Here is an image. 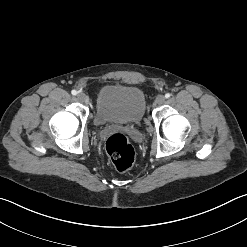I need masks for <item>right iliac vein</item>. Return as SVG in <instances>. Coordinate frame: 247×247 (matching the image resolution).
Wrapping results in <instances>:
<instances>
[{"label":"right iliac vein","instance_id":"63e3f726","mask_svg":"<svg viewBox=\"0 0 247 247\" xmlns=\"http://www.w3.org/2000/svg\"><path fill=\"white\" fill-rule=\"evenodd\" d=\"M77 98L81 102H86L87 101V96L82 92L78 93Z\"/></svg>","mask_w":247,"mask_h":247}]
</instances>
